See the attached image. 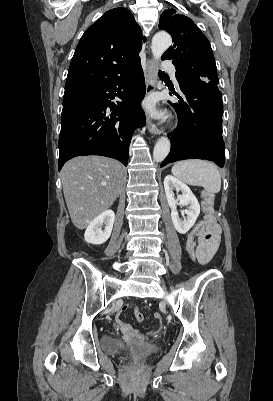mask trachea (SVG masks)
Wrapping results in <instances>:
<instances>
[{"mask_svg":"<svg viewBox=\"0 0 273 401\" xmlns=\"http://www.w3.org/2000/svg\"><path fill=\"white\" fill-rule=\"evenodd\" d=\"M159 73H164V72H162L161 70H159Z\"/></svg>","mask_w":273,"mask_h":401,"instance_id":"trachea-1","label":"trachea"}]
</instances>
